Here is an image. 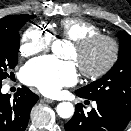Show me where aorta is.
<instances>
[{"label":"aorta","instance_id":"1","mask_svg":"<svg viewBox=\"0 0 131 131\" xmlns=\"http://www.w3.org/2000/svg\"><path fill=\"white\" fill-rule=\"evenodd\" d=\"M65 47L66 41L64 40H56L51 46L52 52L58 57H62L64 55ZM56 111L61 118L67 119L73 116L74 106L70 102H61L57 105Z\"/></svg>","mask_w":131,"mask_h":131}]
</instances>
